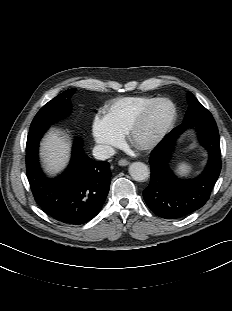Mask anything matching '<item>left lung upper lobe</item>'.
Segmentation results:
<instances>
[{
    "label": "left lung upper lobe",
    "instance_id": "left-lung-upper-lobe-1",
    "mask_svg": "<svg viewBox=\"0 0 232 311\" xmlns=\"http://www.w3.org/2000/svg\"><path fill=\"white\" fill-rule=\"evenodd\" d=\"M189 107L185 115V119L194 118L197 116H204L210 114V112L204 108L201 103L193 96V94L188 91L187 93Z\"/></svg>",
    "mask_w": 232,
    "mask_h": 311
}]
</instances>
